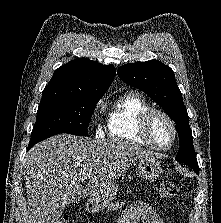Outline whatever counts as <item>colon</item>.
<instances>
[{
  "label": "colon",
  "mask_w": 221,
  "mask_h": 223,
  "mask_svg": "<svg viewBox=\"0 0 221 223\" xmlns=\"http://www.w3.org/2000/svg\"><path fill=\"white\" fill-rule=\"evenodd\" d=\"M158 193L162 199H172L178 195V187L170 180H163L159 185ZM55 223H69V218L62 216Z\"/></svg>",
  "instance_id": "obj_1"
}]
</instances>
